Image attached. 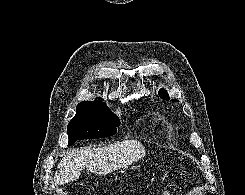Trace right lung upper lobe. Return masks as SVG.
I'll return each instance as SVG.
<instances>
[{
  "label": "right lung upper lobe",
  "mask_w": 245,
  "mask_h": 195,
  "mask_svg": "<svg viewBox=\"0 0 245 195\" xmlns=\"http://www.w3.org/2000/svg\"><path fill=\"white\" fill-rule=\"evenodd\" d=\"M95 102H102V99L99 97L98 100H95Z\"/></svg>",
  "instance_id": "right-lung-upper-lobe-1"
}]
</instances>
